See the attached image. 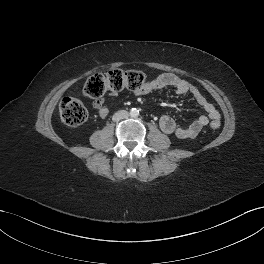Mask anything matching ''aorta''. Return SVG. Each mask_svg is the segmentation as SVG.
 Here are the masks:
<instances>
[{
    "mask_svg": "<svg viewBox=\"0 0 264 264\" xmlns=\"http://www.w3.org/2000/svg\"><path fill=\"white\" fill-rule=\"evenodd\" d=\"M138 115H139V110H138V109H136V108H132V109L130 110V116H131V117L135 118V117H138Z\"/></svg>",
    "mask_w": 264,
    "mask_h": 264,
    "instance_id": "1",
    "label": "aorta"
}]
</instances>
